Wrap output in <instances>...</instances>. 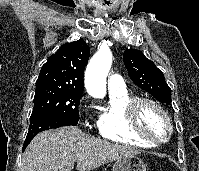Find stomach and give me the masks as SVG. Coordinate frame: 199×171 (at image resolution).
Instances as JSON below:
<instances>
[{"label":"stomach","mask_w":199,"mask_h":171,"mask_svg":"<svg viewBox=\"0 0 199 171\" xmlns=\"http://www.w3.org/2000/svg\"><path fill=\"white\" fill-rule=\"evenodd\" d=\"M113 171H146V165L137 156H125L116 160Z\"/></svg>","instance_id":"obj_1"}]
</instances>
